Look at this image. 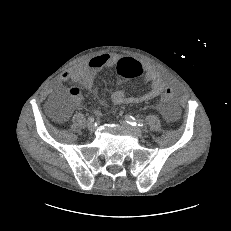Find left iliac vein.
<instances>
[{
    "label": "left iliac vein",
    "instance_id": "1",
    "mask_svg": "<svg viewBox=\"0 0 231 231\" xmlns=\"http://www.w3.org/2000/svg\"><path fill=\"white\" fill-rule=\"evenodd\" d=\"M121 124L124 126V128H126L127 130H129L136 137L141 138L143 136L142 131H141L140 128H138V127H132L131 125H129L124 120H121Z\"/></svg>",
    "mask_w": 231,
    "mask_h": 231
}]
</instances>
